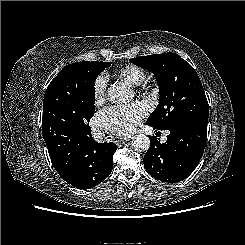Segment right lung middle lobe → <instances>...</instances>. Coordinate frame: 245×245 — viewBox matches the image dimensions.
<instances>
[{
  "label": "right lung middle lobe",
  "mask_w": 245,
  "mask_h": 245,
  "mask_svg": "<svg viewBox=\"0 0 245 245\" xmlns=\"http://www.w3.org/2000/svg\"><path fill=\"white\" fill-rule=\"evenodd\" d=\"M110 65L111 62L97 61H84L73 64V68L76 72L77 80L84 98L80 116L73 125L74 132L81 134H88L91 132V128L89 127L88 123L95 111L94 82L97 76Z\"/></svg>",
  "instance_id": "1"
}]
</instances>
